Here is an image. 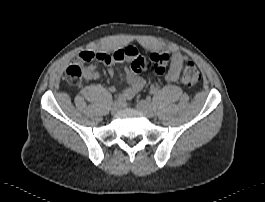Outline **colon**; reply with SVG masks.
I'll list each match as a JSON object with an SVG mask.
<instances>
[{
  "label": "colon",
  "instance_id": "5ec220e1",
  "mask_svg": "<svg viewBox=\"0 0 265 202\" xmlns=\"http://www.w3.org/2000/svg\"><path fill=\"white\" fill-rule=\"evenodd\" d=\"M126 57H133L131 67L135 72L154 71L162 74L171 64V58L168 54L146 53L144 55H135L133 51L121 49L108 55V61H120ZM65 78L71 85H79L84 78L83 64L69 65L65 72ZM202 80L201 73L197 67L190 61L184 64L181 74V81L186 87H193Z\"/></svg>",
  "mask_w": 265,
  "mask_h": 202
}]
</instances>
